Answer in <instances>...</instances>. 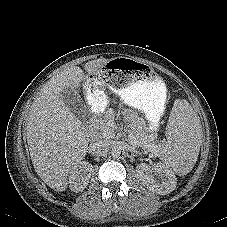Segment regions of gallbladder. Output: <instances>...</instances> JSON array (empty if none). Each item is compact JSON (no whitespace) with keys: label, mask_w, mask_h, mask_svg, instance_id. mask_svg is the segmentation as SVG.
Wrapping results in <instances>:
<instances>
[{"label":"gallbladder","mask_w":227,"mask_h":227,"mask_svg":"<svg viewBox=\"0 0 227 227\" xmlns=\"http://www.w3.org/2000/svg\"><path fill=\"white\" fill-rule=\"evenodd\" d=\"M62 99L64 104L80 119L83 120L84 117L89 113L88 107L85 105L84 101L80 95L72 90L66 89L62 93Z\"/></svg>","instance_id":"1"}]
</instances>
